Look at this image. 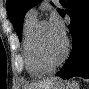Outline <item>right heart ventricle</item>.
I'll use <instances>...</instances> for the list:
<instances>
[{
	"instance_id": "e07e8e85",
	"label": "right heart ventricle",
	"mask_w": 89,
	"mask_h": 89,
	"mask_svg": "<svg viewBox=\"0 0 89 89\" xmlns=\"http://www.w3.org/2000/svg\"><path fill=\"white\" fill-rule=\"evenodd\" d=\"M37 24V16L27 13L23 24V56L27 72L33 77H42L50 71L40 66L34 56L33 35Z\"/></svg>"
}]
</instances>
